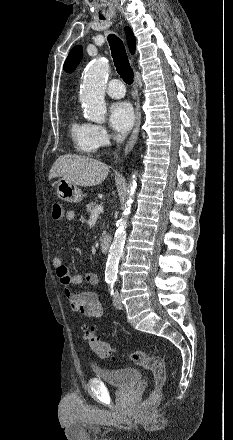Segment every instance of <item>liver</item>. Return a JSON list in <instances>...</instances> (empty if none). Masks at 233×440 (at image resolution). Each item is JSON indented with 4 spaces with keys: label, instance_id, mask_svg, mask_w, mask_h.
Masks as SVG:
<instances>
[{
    "label": "liver",
    "instance_id": "6515ba94",
    "mask_svg": "<svg viewBox=\"0 0 233 440\" xmlns=\"http://www.w3.org/2000/svg\"><path fill=\"white\" fill-rule=\"evenodd\" d=\"M108 172V165L91 157L62 155L53 164L49 179L62 177L75 185L92 187L102 183Z\"/></svg>",
    "mask_w": 233,
    "mask_h": 440
}]
</instances>
